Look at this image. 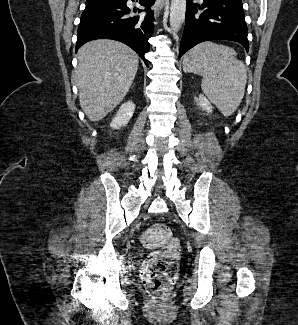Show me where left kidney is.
<instances>
[{
	"instance_id": "left-kidney-1",
	"label": "left kidney",
	"mask_w": 298,
	"mask_h": 325,
	"mask_svg": "<svg viewBox=\"0 0 298 325\" xmlns=\"http://www.w3.org/2000/svg\"><path fill=\"white\" fill-rule=\"evenodd\" d=\"M195 102L198 104L200 110H205L206 114H210L214 108V106H212L211 102H209L208 98H206L204 94L195 96Z\"/></svg>"
}]
</instances>
